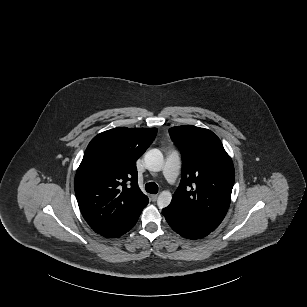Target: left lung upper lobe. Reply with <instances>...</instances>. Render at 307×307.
Instances as JSON below:
<instances>
[{"label":"left lung upper lobe","instance_id":"5c2ea615","mask_svg":"<svg viewBox=\"0 0 307 307\" xmlns=\"http://www.w3.org/2000/svg\"><path fill=\"white\" fill-rule=\"evenodd\" d=\"M182 154V179L171 204L192 221L215 230L225 217L234 185V166L220 139L195 126L169 129Z\"/></svg>","mask_w":307,"mask_h":307}]
</instances>
